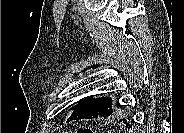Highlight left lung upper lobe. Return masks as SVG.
<instances>
[{
	"label": "left lung upper lobe",
	"mask_w": 184,
	"mask_h": 133,
	"mask_svg": "<svg viewBox=\"0 0 184 133\" xmlns=\"http://www.w3.org/2000/svg\"><path fill=\"white\" fill-rule=\"evenodd\" d=\"M82 100H84V99H83V98L80 99V100L78 101V104H79ZM78 104H76L75 106H73L70 110H74V108H75Z\"/></svg>",
	"instance_id": "1"
}]
</instances>
